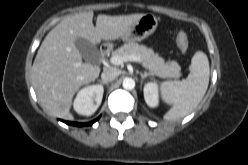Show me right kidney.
I'll return each mask as SVG.
<instances>
[{
	"label": "right kidney",
	"mask_w": 248,
	"mask_h": 165,
	"mask_svg": "<svg viewBox=\"0 0 248 165\" xmlns=\"http://www.w3.org/2000/svg\"><path fill=\"white\" fill-rule=\"evenodd\" d=\"M103 92L102 85H90L81 89L74 100L75 111L84 116L94 114L102 102Z\"/></svg>",
	"instance_id": "right-kidney-1"
}]
</instances>
